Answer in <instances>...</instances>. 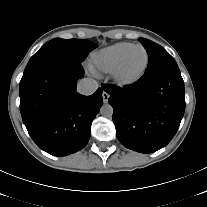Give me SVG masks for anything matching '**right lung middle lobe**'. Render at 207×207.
Instances as JSON below:
<instances>
[{"label":"right lung middle lobe","instance_id":"right-lung-middle-lobe-1","mask_svg":"<svg viewBox=\"0 0 207 207\" xmlns=\"http://www.w3.org/2000/svg\"><path fill=\"white\" fill-rule=\"evenodd\" d=\"M96 47L97 44L88 40L55 38L44 44L31 57L25 70L52 59H67L81 64Z\"/></svg>","mask_w":207,"mask_h":207}]
</instances>
